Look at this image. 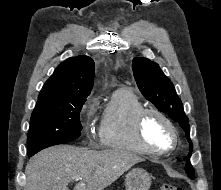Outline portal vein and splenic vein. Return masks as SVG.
<instances>
[{"label": "portal vein and splenic vein", "instance_id": "1", "mask_svg": "<svg viewBox=\"0 0 221 190\" xmlns=\"http://www.w3.org/2000/svg\"><path fill=\"white\" fill-rule=\"evenodd\" d=\"M74 180H75V181H81L82 178L78 177V178H75Z\"/></svg>", "mask_w": 221, "mask_h": 190}]
</instances>
